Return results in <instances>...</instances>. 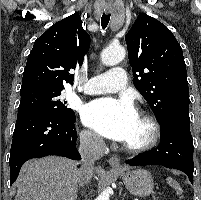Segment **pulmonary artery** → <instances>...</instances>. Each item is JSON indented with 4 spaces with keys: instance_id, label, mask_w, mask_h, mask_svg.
<instances>
[{
    "instance_id": "obj_1",
    "label": "pulmonary artery",
    "mask_w": 201,
    "mask_h": 200,
    "mask_svg": "<svg viewBox=\"0 0 201 200\" xmlns=\"http://www.w3.org/2000/svg\"><path fill=\"white\" fill-rule=\"evenodd\" d=\"M126 84L125 71L117 67L90 78L83 92L89 95L118 92L124 89Z\"/></svg>"
}]
</instances>
